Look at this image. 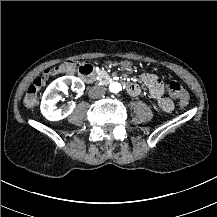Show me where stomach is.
<instances>
[{
  "label": "stomach",
  "mask_w": 217,
  "mask_h": 217,
  "mask_svg": "<svg viewBox=\"0 0 217 217\" xmlns=\"http://www.w3.org/2000/svg\"><path fill=\"white\" fill-rule=\"evenodd\" d=\"M120 66L121 68H124V69H131L133 66V63L130 60H123V61H120Z\"/></svg>",
  "instance_id": "stomach-1"
}]
</instances>
